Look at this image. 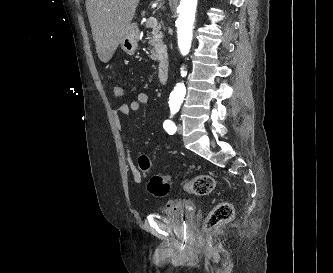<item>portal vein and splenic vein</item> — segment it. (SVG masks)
I'll return each mask as SVG.
<instances>
[{"label":"portal vein and splenic vein","instance_id":"portal-vein-and-splenic-vein-1","mask_svg":"<svg viewBox=\"0 0 333 273\" xmlns=\"http://www.w3.org/2000/svg\"><path fill=\"white\" fill-rule=\"evenodd\" d=\"M157 24H158V23H157V19L154 18V17H150V18L148 19L147 23H146V25H147L148 27H151V28H154V29H156Z\"/></svg>","mask_w":333,"mask_h":273}]
</instances>
